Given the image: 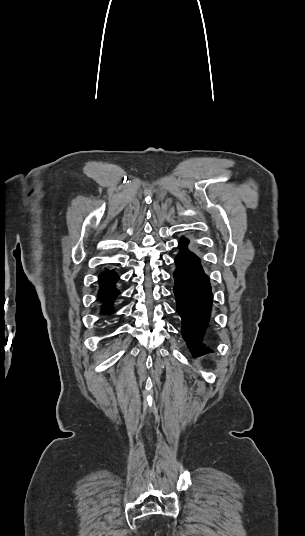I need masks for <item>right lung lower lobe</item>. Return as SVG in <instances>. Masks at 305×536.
<instances>
[{
  "mask_svg": "<svg viewBox=\"0 0 305 536\" xmlns=\"http://www.w3.org/2000/svg\"><path fill=\"white\" fill-rule=\"evenodd\" d=\"M119 279V276L113 270H105L99 275V290L98 297L102 302L103 310L106 312H111L112 301L120 294L119 290L116 288V282Z\"/></svg>",
  "mask_w": 305,
  "mask_h": 536,
  "instance_id": "1",
  "label": "right lung lower lobe"
}]
</instances>
